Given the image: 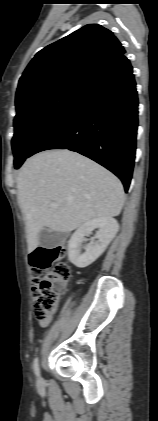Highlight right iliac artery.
Instances as JSON below:
<instances>
[{"instance_id": "right-iliac-artery-1", "label": "right iliac artery", "mask_w": 158, "mask_h": 421, "mask_svg": "<svg viewBox=\"0 0 158 421\" xmlns=\"http://www.w3.org/2000/svg\"><path fill=\"white\" fill-rule=\"evenodd\" d=\"M33 369L34 372L37 376L40 375V369H39V362H38V358H35L34 363H33Z\"/></svg>"}]
</instances>
